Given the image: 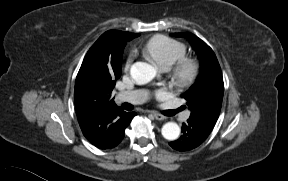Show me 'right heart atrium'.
Returning a JSON list of instances; mask_svg holds the SVG:
<instances>
[{"label":"right heart atrium","instance_id":"d8ad5b80","mask_svg":"<svg viewBox=\"0 0 288 181\" xmlns=\"http://www.w3.org/2000/svg\"><path fill=\"white\" fill-rule=\"evenodd\" d=\"M131 63H132V56L129 55L128 58H127V60H126V63H125V68H126V69H129L130 66H131Z\"/></svg>","mask_w":288,"mask_h":181}]
</instances>
